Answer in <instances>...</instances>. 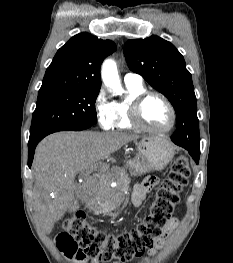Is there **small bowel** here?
Here are the masks:
<instances>
[{
  "mask_svg": "<svg viewBox=\"0 0 233 263\" xmlns=\"http://www.w3.org/2000/svg\"><path fill=\"white\" fill-rule=\"evenodd\" d=\"M158 185V180L155 177H149L145 179L141 184L134 187L132 193V202L135 205H140L147 193ZM179 224V220L176 217H171L164 227V236L156 239L151 248L148 251V256L153 257L161 250L165 245V237L169 235ZM145 260V258H139L138 262ZM93 263H99L98 260ZM111 263H118V261H112Z\"/></svg>",
  "mask_w": 233,
  "mask_h": 263,
  "instance_id": "1",
  "label": "small bowel"
}]
</instances>
